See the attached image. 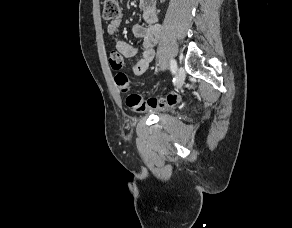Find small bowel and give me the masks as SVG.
Segmentation results:
<instances>
[{
	"mask_svg": "<svg viewBox=\"0 0 292 228\" xmlns=\"http://www.w3.org/2000/svg\"><path fill=\"white\" fill-rule=\"evenodd\" d=\"M140 10L143 24H137L132 28L134 37L142 40L141 55L132 66V72L136 76L142 75L148 70L155 55V46L160 33L153 0H140ZM119 27L120 20H114L108 26V32L114 35L117 33ZM115 52L118 53L123 60V58L134 57L138 49L123 40H118L116 42Z\"/></svg>",
	"mask_w": 292,
	"mask_h": 228,
	"instance_id": "c3829d8e",
	"label": "small bowel"
}]
</instances>
